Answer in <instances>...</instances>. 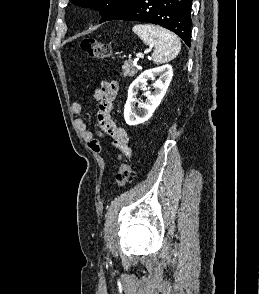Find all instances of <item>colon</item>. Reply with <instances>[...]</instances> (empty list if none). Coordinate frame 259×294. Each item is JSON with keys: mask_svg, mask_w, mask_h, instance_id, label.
<instances>
[{"mask_svg": "<svg viewBox=\"0 0 259 294\" xmlns=\"http://www.w3.org/2000/svg\"><path fill=\"white\" fill-rule=\"evenodd\" d=\"M81 48L90 57L105 59L111 54V47L104 41L96 38H86L81 42ZM133 180V170L129 163L123 162L117 172L116 182L118 187L123 188Z\"/></svg>", "mask_w": 259, "mask_h": 294, "instance_id": "1", "label": "colon"}]
</instances>
